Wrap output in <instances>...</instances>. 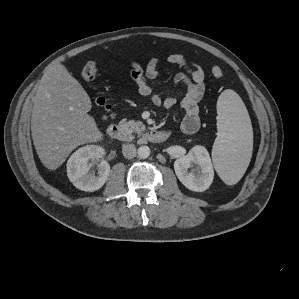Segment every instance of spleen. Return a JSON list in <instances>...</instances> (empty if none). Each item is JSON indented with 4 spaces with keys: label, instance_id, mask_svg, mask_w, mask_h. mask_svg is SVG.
Returning <instances> with one entry per match:
<instances>
[{
    "label": "spleen",
    "instance_id": "3e777b00",
    "mask_svg": "<svg viewBox=\"0 0 299 299\" xmlns=\"http://www.w3.org/2000/svg\"><path fill=\"white\" fill-rule=\"evenodd\" d=\"M217 114L212 160L223 182L234 185L243 177L252 156V125L242 99L230 89L220 94Z\"/></svg>",
    "mask_w": 299,
    "mask_h": 299
}]
</instances>
